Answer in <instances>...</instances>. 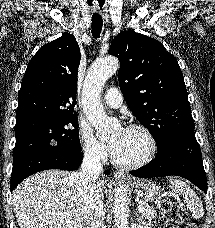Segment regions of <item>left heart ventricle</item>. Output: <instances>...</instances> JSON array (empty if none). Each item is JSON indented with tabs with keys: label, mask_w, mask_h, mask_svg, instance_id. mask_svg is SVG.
Here are the masks:
<instances>
[{
	"label": "left heart ventricle",
	"mask_w": 215,
	"mask_h": 228,
	"mask_svg": "<svg viewBox=\"0 0 215 228\" xmlns=\"http://www.w3.org/2000/svg\"><path fill=\"white\" fill-rule=\"evenodd\" d=\"M120 134H123V141L115 152L114 157L121 162H134L140 159L147 150V141L144 134L139 130H124L113 133L111 142Z\"/></svg>",
	"instance_id": "1"
}]
</instances>
